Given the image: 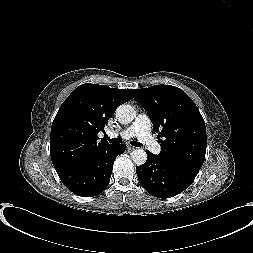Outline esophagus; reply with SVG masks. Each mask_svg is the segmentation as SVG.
I'll return each mask as SVG.
<instances>
[{"instance_id":"esophagus-1","label":"esophagus","mask_w":253,"mask_h":253,"mask_svg":"<svg viewBox=\"0 0 253 253\" xmlns=\"http://www.w3.org/2000/svg\"><path fill=\"white\" fill-rule=\"evenodd\" d=\"M127 149L130 150V151H132V150H135V147H134V146H131V145H128V146H127Z\"/></svg>"}]
</instances>
